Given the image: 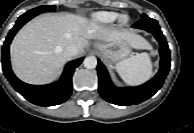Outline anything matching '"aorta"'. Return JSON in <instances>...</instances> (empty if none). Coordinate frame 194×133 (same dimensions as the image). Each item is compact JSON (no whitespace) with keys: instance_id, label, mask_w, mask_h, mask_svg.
Listing matches in <instances>:
<instances>
[{"instance_id":"762f6f07","label":"aorta","mask_w":194,"mask_h":133,"mask_svg":"<svg viewBox=\"0 0 194 133\" xmlns=\"http://www.w3.org/2000/svg\"><path fill=\"white\" fill-rule=\"evenodd\" d=\"M83 64L87 69H94L97 66V59L94 56L86 57Z\"/></svg>"}]
</instances>
